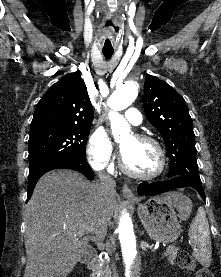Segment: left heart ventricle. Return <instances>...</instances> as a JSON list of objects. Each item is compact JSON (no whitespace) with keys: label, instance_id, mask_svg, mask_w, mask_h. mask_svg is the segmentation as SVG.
<instances>
[{"label":"left heart ventricle","instance_id":"1","mask_svg":"<svg viewBox=\"0 0 221 277\" xmlns=\"http://www.w3.org/2000/svg\"><path fill=\"white\" fill-rule=\"evenodd\" d=\"M120 147L125 163L132 171L148 175L157 170L160 159L153 144L128 137L121 142Z\"/></svg>","mask_w":221,"mask_h":277}]
</instances>
